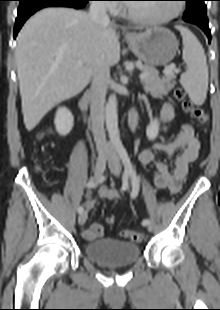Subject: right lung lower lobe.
I'll return each mask as SVG.
<instances>
[{
  "label": "right lung lower lobe",
  "mask_w": 220,
  "mask_h": 310,
  "mask_svg": "<svg viewBox=\"0 0 220 310\" xmlns=\"http://www.w3.org/2000/svg\"><path fill=\"white\" fill-rule=\"evenodd\" d=\"M18 16L14 27V38L24 22L36 11L51 6H63L80 9L91 0H19Z\"/></svg>",
  "instance_id": "right-lung-lower-lobe-1"
}]
</instances>
